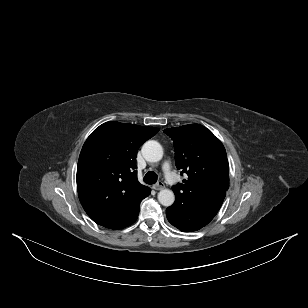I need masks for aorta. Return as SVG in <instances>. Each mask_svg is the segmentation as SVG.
I'll return each instance as SVG.
<instances>
[{
    "label": "aorta",
    "mask_w": 308,
    "mask_h": 308,
    "mask_svg": "<svg viewBox=\"0 0 308 308\" xmlns=\"http://www.w3.org/2000/svg\"><path fill=\"white\" fill-rule=\"evenodd\" d=\"M142 154L149 162H158L163 157V148L157 141L149 140L142 147ZM158 200L163 206H171L175 201V195L172 190L162 189L158 193Z\"/></svg>",
    "instance_id": "762f6f07"
}]
</instances>
